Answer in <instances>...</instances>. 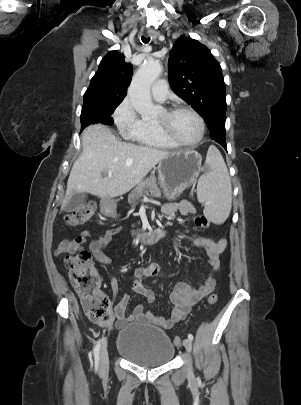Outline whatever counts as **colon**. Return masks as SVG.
I'll return each mask as SVG.
<instances>
[{"mask_svg": "<svg viewBox=\"0 0 301 405\" xmlns=\"http://www.w3.org/2000/svg\"><path fill=\"white\" fill-rule=\"evenodd\" d=\"M94 212V204L85 203L66 215L65 223L71 227L80 225L86 222ZM195 224L199 228H206L209 226V221L204 216H199L195 219ZM84 238L85 234H82L74 239L75 244L65 258V265L70 281L82 299L88 318L95 324L107 326L112 321V311L107 297L100 289L99 277L93 267L91 255L81 246ZM217 300L218 296L215 293L209 295L207 299L209 304H215ZM173 342L175 346H180L182 338L175 336Z\"/></svg>", "mask_w": 301, "mask_h": 405, "instance_id": "5ec220e1", "label": "colon"}]
</instances>
